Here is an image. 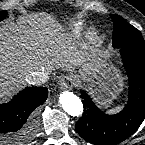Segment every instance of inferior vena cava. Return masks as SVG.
Masks as SVG:
<instances>
[{
  "label": "inferior vena cava",
  "instance_id": "inferior-vena-cava-1",
  "mask_svg": "<svg viewBox=\"0 0 145 145\" xmlns=\"http://www.w3.org/2000/svg\"><path fill=\"white\" fill-rule=\"evenodd\" d=\"M25 80L29 83V84H33V85H41L43 83H45L48 80V72L42 70V71H32L31 73H29Z\"/></svg>",
  "mask_w": 145,
  "mask_h": 145
}]
</instances>
